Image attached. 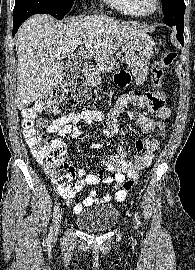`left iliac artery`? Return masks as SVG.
<instances>
[{
  "mask_svg": "<svg viewBox=\"0 0 195 270\" xmlns=\"http://www.w3.org/2000/svg\"><path fill=\"white\" fill-rule=\"evenodd\" d=\"M134 219H135L137 225H139V224H140V221H139V218H138V216H137L136 214H135V216H134Z\"/></svg>",
  "mask_w": 195,
  "mask_h": 270,
  "instance_id": "1",
  "label": "left iliac artery"
}]
</instances>
